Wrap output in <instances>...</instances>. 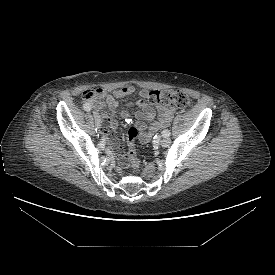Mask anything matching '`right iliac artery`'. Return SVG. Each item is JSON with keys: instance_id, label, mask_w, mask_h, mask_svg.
<instances>
[{"instance_id": "82829eb1", "label": "right iliac artery", "mask_w": 275, "mask_h": 275, "mask_svg": "<svg viewBox=\"0 0 275 275\" xmlns=\"http://www.w3.org/2000/svg\"><path fill=\"white\" fill-rule=\"evenodd\" d=\"M83 108L86 111H90L92 109V106L89 103H84L83 104Z\"/></svg>"}]
</instances>
